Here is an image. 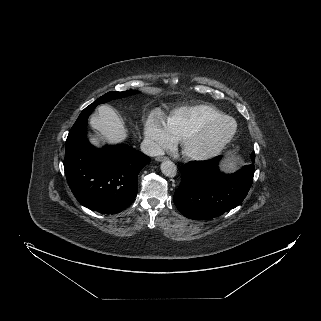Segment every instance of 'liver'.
Here are the masks:
<instances>
[{
    "label": "liver",
    "instance_id": "liver-1",
    "mask_svg": "<svg viewBox=\"0 0 321 321\" xmlns=\"http://www.w3.org/2000/svg\"><path fill=\"white\" fill-rule=\"evenodd\" d=\"M91 126L100 132L108 143H121L127 138V130L115 111L106 105L98 107V114L90 118ZM92 144L99 146L100 142L91 137Z\"/></svg>",
    "mask_w": 321,
    "mask_h": 321
}]
</instances>
